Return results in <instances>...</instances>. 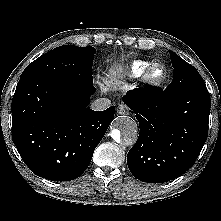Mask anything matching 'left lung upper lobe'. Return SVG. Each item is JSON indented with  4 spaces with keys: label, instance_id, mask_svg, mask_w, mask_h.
I'll use <instances>...</instances> for the list:
<instances>
[{
    "label": "left lung upper lobe",
    "instance_id": "obj_1",
    "mask_svg": "<svg viewBox=\"0 0 221 221\" xmlns=\"http://www.w3.org/2000/svg\"><path fill=\"white\" fill-rule=\"evenodd\" d=\"M174 78L166 90L170 93H178L185 90L205 88L206 85L199 72L173 51H170Z\"/></svg>",
    "mask_w": 221,
    "mask_h": 221
}]
</instances>
